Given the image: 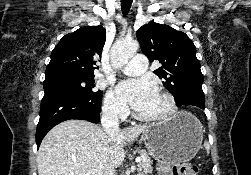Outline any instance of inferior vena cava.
Instances as JSON below:
<instances>
[{
    "mask_svg": "<svg viewBox=\"0 0 251 175\" xmlns=\"http://www.w3.org/2000/svg\"><path fill=\"white\" fill-rule=\"evenodd\" d=\"M101 123L106 133H118L119 127V109L118 107H106L101 115ZM114 169H107L103 175H113Z\"/></svg>",
    "mask_w": 251,
    "mask_h": 175,
    "instance_id": "1",
    "label": "inferior vena cava"
}]
</instances>
